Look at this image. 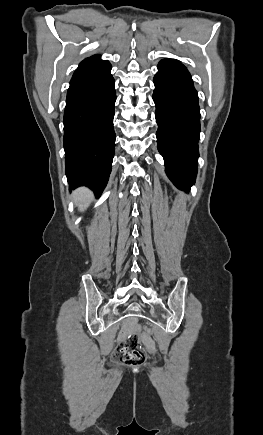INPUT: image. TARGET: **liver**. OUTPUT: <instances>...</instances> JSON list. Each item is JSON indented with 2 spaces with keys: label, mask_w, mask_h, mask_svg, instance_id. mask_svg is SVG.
<instances>
[{
  "label": "liver",
  "mask_w": 263,
  "mask_h": 435,
  "mask_svg": "<svg viewBox=\"0 0 263 435\" xmlns=\"http://www.w3.org/2000/svg\"><path fill=\"white\" fill-rule=\"evenodd\" d=\"M74 200L80 211H84L92 200V193L86 188H79L74 192Z\"/></svg>",
  "instance_id": "6515ba94"
}]
</instances>
